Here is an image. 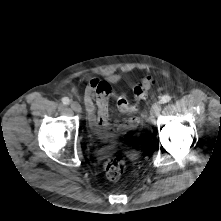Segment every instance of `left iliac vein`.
<instances>
[{"label":"left iliac vein","mask_w":221,"mask_h":221,"mask_svg":"<svg viewBox=\"0 0 221 221\" xmlns=\"http://www.w3.org/2000/svg\"><path fill=\"white\" fill-rule=\"evenodd\" d=\"M161 111L160 103H154L151 107L150 114L153 118L157 117Z\"/></svg>","instance_id":"obj_1"}]
</instances>
